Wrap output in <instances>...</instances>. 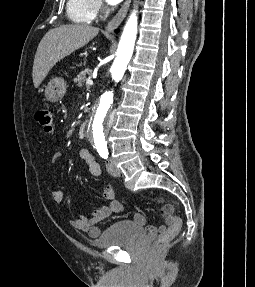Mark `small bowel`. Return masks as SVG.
Segmentation results:
<instances>
[{
	"label": "small bowel",
	"mask_w": 255,
	"mask_h": 287,
	"mask_svg": "<svg viewBox=\"0 0 255 287\" xmlns=\"http://www.w3.org/2000/svg\"><path fill=\"white\" fill-rule=\"evenodd\" d=\"M60 155V153L55 154L54 159ZM77 155L82 161L86 163L92 176L96 178L100 177L101 168L93 155L86 148H77ZM52 198L56 204H60L63 200V194L60 191H54L52 193ZM103 198L107 201L106 205L98 207L89 216L82 215L72 219L70 221L72 227L87 232L91 237H97L100 234V230L97 227V224L121 210V204L114 198V192L111 186L108 185L104 188ZM162 214L164 216V224L159 226L147 225L146 216L139 212L134 215L133 221L136 224L145 227L150 234L163 233L173 221L172 208L168 207L164 209Z\"/></svg>",
	"instance_id": "small-bowel-1"
}]
</instances>
